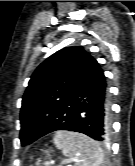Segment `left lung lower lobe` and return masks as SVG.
<instances>
[{
    "instance_id": "1",
    "label": "left lung lower lobe",
    "mask_w": 135,
    "mask_h": 166,
    "mask_svg": "<svg viewBox=\"0 0 135 166\" xmlns=\"http://www.w3.org/2000/svg\"><path fill=\"white\" fill-rule=\"evenodd\" d=\"M110 100L106 77L92 58L82 70L71 90L66 106L55 119L43 124L34 121L21 126L20 140L27 145L57 130L80 132L98 141L110 133Z\"/></svg>"
}]
</instances>
